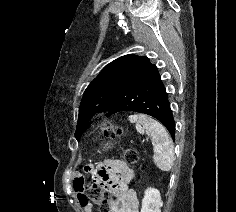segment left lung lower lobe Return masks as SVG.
I'll use <instances>...</instances> for the list:
<instances>
[{"label": "left lung lower lobe", "instance_id": "left-lung-lower-lobe-1", "mask_svg": "<svg viewBox=\"0 0 236 212\" xmlns=\"http://www.w3.org/2000/svg\"><path fill=\"white\" fill-rule=\"evenodd\" d=\"M107 116L134 111L159 120L175 139V123L158 68L144 57L129 82L110 105Z\"/></svg>", "mask_w": 236, "mask_h": 212}]
</instances>
